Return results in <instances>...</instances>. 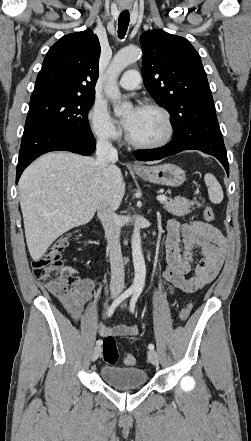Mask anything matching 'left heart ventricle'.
<instances>
[{
	"instance_id": "left-heart-ventricle-1",
	"label": "left heart ventricle",
	"mask_w": 251,
	"mask_h": 441,
	"mask_svg": "<svg viewBox=\"0 0 251 441\" xmlns=\"http://www.w3.org/2000/svg\"><path fill=\"white\" fill-rule=\"evenodd\" d=\"M128 131L139 142H155L164 137L166 124L163 116L158 111L140 108L132 127Z\"/></svg>"
}]
</instances>
